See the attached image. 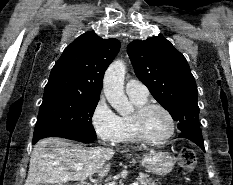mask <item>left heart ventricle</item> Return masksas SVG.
Returning a JSON list of instances; mask_svg holds the SVG:
<instances>
[{
	"label": "left heart ventricle",
	"mask_w": 233,
	"mask_h": 185,
	"mask_svg": "<svg viewBox=\"0 0 233 185\" xmlns=\"http://www.w3.org/2000/svg\"><path fill=\"white\" fill-rule=\"evenodd\" d=\"M143 127L149 138L161 139L168 134L170 122L161 110L151 109L144 116Z\"/></svg>",
	"instance_id": "1"
}]
</instances>
